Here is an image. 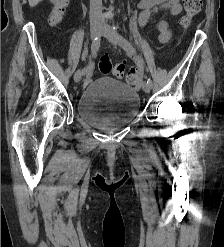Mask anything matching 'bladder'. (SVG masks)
Wrapping results in <instances>:
<instances>
[{
    "label": "bladder",
    "mask_w": 224,
    "mask_h": 247,
    "mask_svg": "<svg viewBox=\"0 0 224 247\" xmlns=\"http://www.w3.org/2000/svg\"><path fill=\"white\" fill-rule=\"evenodd\" d=\"M139 109L138 93L111 77H101L89 83L76 102L78 116L90 127L105 132L128 125Z\"/></svg>",
    "instance_id": "1"
}]
</instances>
